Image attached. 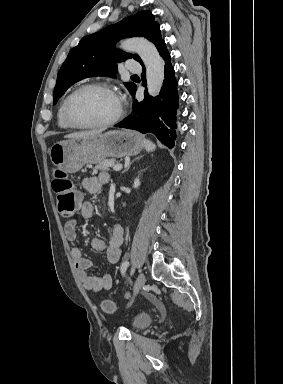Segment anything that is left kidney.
Segmentation results:
<instances>
[{
  "label": "left kidney",
  "instance_id": "1",
  "mask_svg": "<svg viewBox=\"0 0 283 384\" xmlns=\"http://www.w3.org/2000/svg\"><path fill=\"white\" fill-rule=\"evenodd\" d=\"M138 186H140V180H139V178H136V180H134L133 188H138Z\"/></svg>",
  "mask_w": 283,
  "mask_h": 384
}]
</instances>
